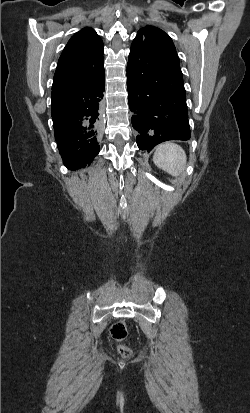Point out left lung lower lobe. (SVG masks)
<instances>
[{
	"instance_id": "0a47b994",
	"label": "left lung lower lobe",
	"mask_w": 250,
	"mask_h": 413,
	"mask_svg": "<svg viewBox=\"0 0 250 413\" xmlns=\"http://www.w3.org/2000/svg\"><path fill=\"white\" fill-rule=\"evenodd\" d=\"M178 57L145 38L133 43L127 63L129 107L140 150L150 152L167 140L191 137Z\"/></svg>"
}]
</instances>
